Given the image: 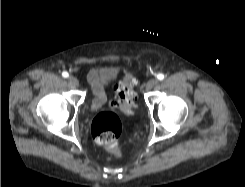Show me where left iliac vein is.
<instances>
[{"instance_id": "4c4485c4", "label": "left iliac vein", "mask_w": 245, "mask_h": 187, "mask_svg": "<svg viewBox=\"0 0 245 187\" xmlns=\"http://www.w3.org/2000/svg\"><path fill=\"white\" fill-rule=\"evenodd\" d=\"M157 84H158V80H157L156 78L150 79V80L146 83V90H151V89L154 88Z\"/></svg>"}]
</instances>
